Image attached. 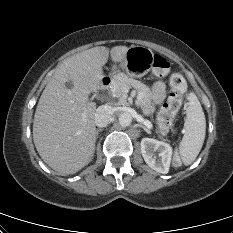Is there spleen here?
I'll list each match as a JSON object with an SVG mask.
<instances>
[{
  "instance_id": "spleen-1",
  "label": "spleen",
  "mask_w": 233,
  "mask_h": 233,
  "mask_svg": "<svg viewBox=\"0 0 233 233\" xmlns=\"http://www.w3.org/2000/svg\"><path fill=\"white\" fill-rule=\"evenodd\" d=\"M187 117L184 123V136L179 145L180 158L188 166L198 156L206 134V119L201 104L194 93L187 96ZM175 163L178 159H174Z\"/></svg>"
}]
</instances>
